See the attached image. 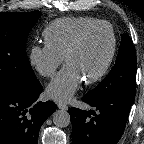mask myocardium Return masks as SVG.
I'll return each instance as SVG.
<instances>
[{
	"label": "myocardium",
	"instance_id": "obj_1",
	"mask_svg": "<svg viewBox=\"0 0 144 144\" xmlns=\"http://www.w3.org/2000/svg\"><path fill=\"white\" fill-rule=\"evenodd\" d=\"M106 26L110 29L111 32V36H112V44H111V49H110V53L104 63V65L102 66V68L92 77L88 78V79H84V82L86 84H93L99 80H101L105 74L107 73V71L109 70L115 54H116V50H117V36H116V32L113 28V26L107 22V21H98L96 23L90 24L86 27H84L73 39V41L71 42V44L69 45L66 53H65V62L68 63L70 57L73 55V53L79 48V46L81 45L82 41L84 40V38L93 30L99 28V27H103Z\"/></svg>",
	"mask_w": 144,
	"mask_h": 144
}]
</instances>
